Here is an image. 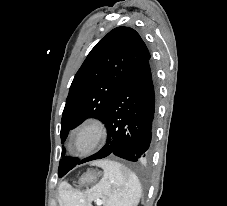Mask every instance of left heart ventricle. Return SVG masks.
Here are the masks:
<instances>
[{"instance_id":"1","label":"left heart ventricle","mask_w":227,"mask_h":206,"mask_svg":"<svg viewBox=\"0 0 227 206\" xmlns=\"http://www.w3.org/2000/svg\"><path fill=\"white\" fill-rule=\"evenodd\" d=\"M88 142L87 136H81L77 139L76 144L78 147H84Z\"/></svg>"}]
</instances>
